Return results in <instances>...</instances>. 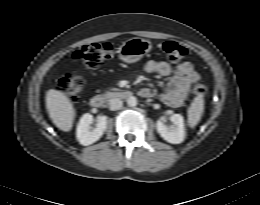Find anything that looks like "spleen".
Listing matches in <instances>:
<instances>
[{
	"label": "spleen",
	"instance_id": "1",
	"mask_svg": "<svg viewBox=\"0 0 260 205\" xmlns=\"http://www.w3.org/2000/svg\"><path fill=\"white\" fill-rule=\"evenodd\" d=\"M204 111V99L203 95L199 94L194 98L191 106L188 109V124L191 128H194L200 121Z\"/></svg>",
	"mask_w": 260,
	"mask_h": 205
}]
</instances>
